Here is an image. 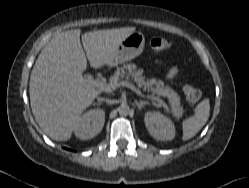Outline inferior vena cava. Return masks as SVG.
<instances>
[{"label": "inferior vena cava", "instance_id": "1", "mask_svg": "<svg viewBox=\"0 0 249 188\" xmlns=\"http://www.w3.org/2000/svg\"><path fill=\"white\" fill-rule=\"evenodd\" d=\"M98 101H105V102H107V103H109V104L113 103L112 100L104 99V98H98Z\"/></svg>", "mask_w": 249, "mask_h": 188}]
</instances>
